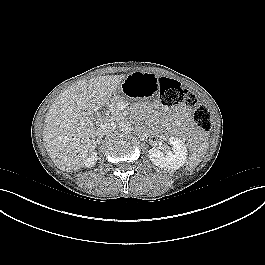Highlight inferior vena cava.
<instances>
[{"mask_svg": "<svg viewBox=\"0 0 265 265\" xmlns=\"http://www.w3.org/2000/svg\"><path fill=\"white\" fill-rule=\"evenodd\" d=\"M116 129V124L114 121L108 120V121H104L100 128H99V133L101 135H108L111 134L115 131Z\"/></svg>", "mask_w": 265, "mask_h": 265, "instance_id": "obj_1", "label": "inferior vena cava"}]
</instances>
